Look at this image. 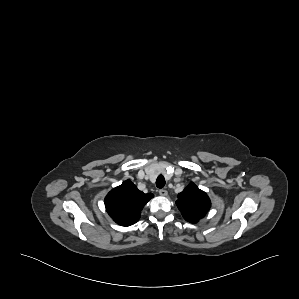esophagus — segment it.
<instances>
[{
  "label": "esophagus",
  "mask_w": 299,
  "mask_h": 299,
  "mask_svg": "<svg viewBox=\"0 0 299 299\" xmlns=\"http://www.w3.org/2000/svg\"><path fill=\"white\" fill-rule=\"evenodd\" d=\"M159 194L161 195V196H167V191L165 190V189H160L159 190Z\"/></svg>",
  "instance_id": "esophagus-1"
}]
</instances>
